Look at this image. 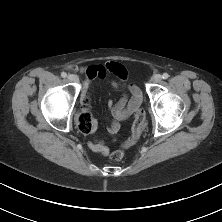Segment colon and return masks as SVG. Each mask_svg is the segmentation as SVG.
I'll list each match as a JSON object with an SVG mask.
<instances>
[{
    "label": "colon",
    "instance_id": "colon-1",
    "mask_svg": "<svg viewBox=\"0 0 222 222\" xmlns=\"http://www.w3.org/2000/svg\"><path fill=\"white\" fill-rule=\"evenodd\" d=\"M116 66H120V65L117 63H112L110 64V69H113ZM84 103L86 106L88 105L87 97H85ZM92 122H93V117L88 108L86 109L84 113L81 112L77 118L78 128L82 133H88L89 129L92 126ZM144 122H145V112L144 110L139 109L135 113V120L132 127L131 136L123 144L124 148H129L136 144V142L139 140L141 136V133L144 127ZM123 157H124V151L117 150L111 154L110 158L113 161H120L123 159Z\"/></svg>",
    "mask_w": 222,
    "mask_h": 222
}]
</instances>
